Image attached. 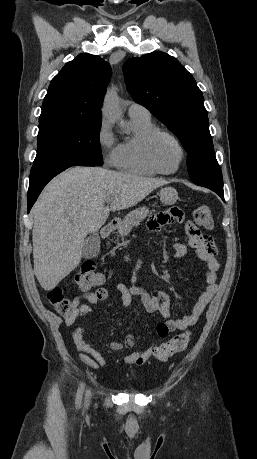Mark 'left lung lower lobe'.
I'll return each instance as SVG.
<instances>
[{
    "mask_svg": "<svg viewBox=\"0 0 257 459\" xmlns=\"http://www.w3.org/2000/svg\"><path fill=\"white\" fill-rule=\"evenodd\" d=\"M211 190L216 192L224 200L223 189H211Z\"/></svg>",
    "mask_w": 257,
    "mask_h": 459,
    "instance_id": "1",
    "label": "left lung lower lobe"
}]
</instances>
